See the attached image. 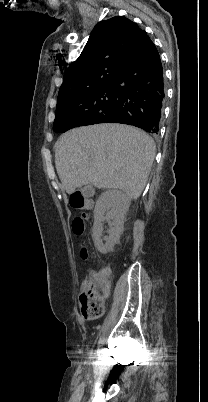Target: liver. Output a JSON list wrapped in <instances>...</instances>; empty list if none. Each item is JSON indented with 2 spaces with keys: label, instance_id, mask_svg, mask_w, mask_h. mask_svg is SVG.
Listing matches in <instances>:
<instances>
[{
  "label": "liver",
  "instance_id": "6515ba94",
  "mask_svg": "<svg viewBox=\"0 0 208 402\" xmlns=\"http://www.w3.org/2000/svg\"><path fill=\"white\" fill-rule=\"evenodd\" d=\"M155 158V144L142 130L125 124H96L60 136L55 148L57 174L67 192L76 188H119L141 196Z\"/></svg>",
  "mask_w": 208,
  "mask_h": 402
}]
</instances>
